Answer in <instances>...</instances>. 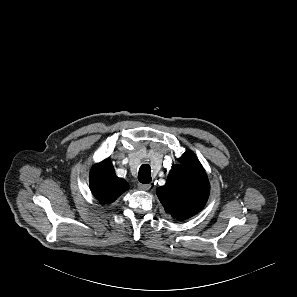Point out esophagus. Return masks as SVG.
Returning a JSON list of instances; mask_svg holds the SVG:
<instances>
[{
  "mask_svg": "<svg viewBox=\"0 0 297 297\" xmlns=\"http://www.w3.org/2000/svg\"><path fill=\"white\" fill-rule=\"evenodd\" d=\"M138 187H139L140 190L147 191V190H149L151 188V185L150 184L139 183Z\"/></svg>",
  "mask_w": 297,
  "mask_h": 297,
  "instance_id": "34e87169",
  "label": "esophagus"
}]
</instances>
